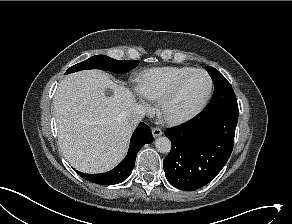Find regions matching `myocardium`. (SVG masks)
<instances>
[{
  "label": "myocardium",
  "mask_w": 292,
  "mask_h": 224,
  "mask_svg": "<svg viewBox=\"0 0 292 224\" xmlns=\"http://www.w3.org/2000/svg\"><path fill=\"white\" fill-rule=\"evenodd\" d=\"M197 73L205 74L209 79V88L206 96L204 99L189 113L181 115V116H171L167 113L168 106L170 103L176 98L178 93L180 92L181 88L185 84V82ZM214 88V82L212 76L204 69H195L183 77H181L173 86L172 88L164 94L159 100L157 105V113L158 116L167 124L169 125H180L186 123L196 117L208 104L212 92Z\"/></svg>",
  "instance_id": "myocardium-1"
}]
</instances>
